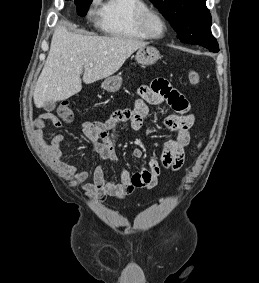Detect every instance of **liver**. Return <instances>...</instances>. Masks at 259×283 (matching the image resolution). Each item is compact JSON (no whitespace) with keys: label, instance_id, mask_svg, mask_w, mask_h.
Masks as SVG:
<instances>
[{"label":"liver","instance_id":"1","mask_svg":"<svg viewBox=\"0 0 259 283\" xmlns=\"http://www.w3.org/2000/svg\"><path fill=\"white\" fill-rule=\"evenodd\" d=\"M146 45L144 41L122 36L74 34L61 21L33 93L35 106L41 108L47 102L70 98L81 91L82 80L91 84L113 75L126 59Z\"/></svg>","mask_w":259,"mask_h":283}]
</instances>
